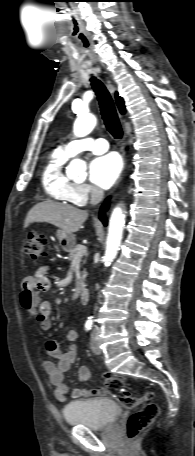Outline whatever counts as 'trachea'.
Wrapping results in <instances>:
<instances>
[{
    "mask_svg": "<svg viewBox=\"0 0 195 456\" xmlns=\"http://www.w3.org/2000/svg\"><path fill=\"white\" fill-rule=\"evenodd\" d=\"M91 84L98 97L101 114L107 130L116 139L121 138L122 128L118 119V115L113 103V100L106 89L105 85L95 77H91Z\"/></svg>",
    "mask_w": 195,
    "mask_h": 456,
    "instance_id": "1",
    "label": "trachea"
}]
</instances>
